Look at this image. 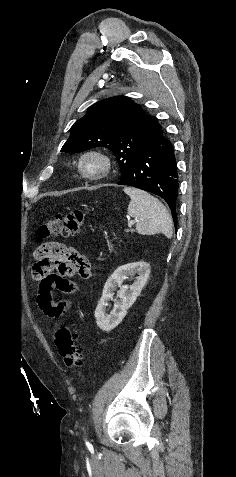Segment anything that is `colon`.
Listing matches in <instances>:
<instances>
[{
  "instance_id": "colon-1",
  "label": "colon",
  "mask_w": 236,
  "mask_h": 477,
  "mask_svg": "<svg viewBox=\"0 0 236 477\" xmlns=\"http://www.w3.org/2000/svg\"><path fill=\"white\" fill-rule=\"evenodd\" d=\"M84 214L81 210H76L68 214H60L43 223L37 230V239L42 241L50 237L70 238L81 231ZM59 251L52 248L48 243L40 244L35 252L36 266L39 262ZM77 260L82 264L81 272L90 274V267L84 262L82 256H77ZM41 274V272H38ZM78 334L70 327H61L55 335L57 349L65 363L71 369H80L83 361V352L77 344Z\"/></svg>"
}]
</instances>
